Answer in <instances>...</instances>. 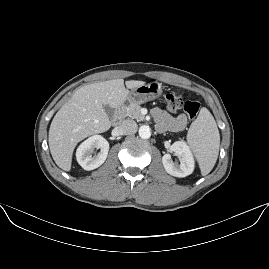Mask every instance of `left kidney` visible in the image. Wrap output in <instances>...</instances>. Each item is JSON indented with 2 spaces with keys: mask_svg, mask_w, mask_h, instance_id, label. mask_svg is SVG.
Masks as SVG:
<instances>
[{
  "mask_svg": "<svg viewBox=\"0 0 269 269\" xmlns=\"http://www.w3.org/2000/svg\"><path fill=\"white\" fill-rule=\"evenodd\" d=\"M170 151L183 158V163L177 164L173 162L170 154H165L162 158L163 165L166 171L177 177H186L192 174L195 170V157L187 142L183 140L175 141Z\"/></svg>",
  "mask_w": 269,
  "mask_h": 269,
  "instance_id": "5707ae66",
  "label": "left kidney"
}]
</instances>
